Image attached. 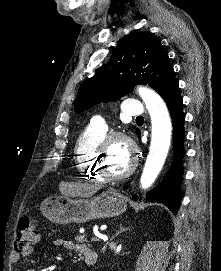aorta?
Segmentation results:
<instances>
[{
	"label": "aorta",
	"instance_id": "obj_1",
	"mask_svg": "<svg viewBox=\"0 0 221 271\" xmlns=\"http://www.w3.org/2000/svg\"><path fill=\"white\" fill-rule=\"evenodd\" d=\"M138 93L150 114L152 125L149 154L140 178L141 187L147 189L155 182L164 165L171 143L172 123L159 94L145 87H139Z\"/></svg>",
	"mask_w": 221,
	"mask_h": 271
}]
</instances>
